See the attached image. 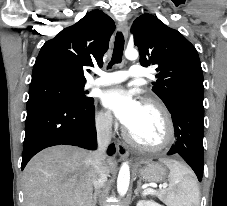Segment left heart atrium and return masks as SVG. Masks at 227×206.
<instances>
[{"label": "left heart atrium", "mask_w": 227, "mask_h": 206, "mask_svg": "<svg viewBox=\"0 0 227 206\" xmlns=\"http://www.w3.org/2000/svg\"><path fill=\"white\" fill-rule=\"evenodd\" d=\"M102 103L129 131L138 121L143 108V104L135 95L122 87L105 91Z\"/></svg>", "instance_id": "obj_1"}]
</instances>
